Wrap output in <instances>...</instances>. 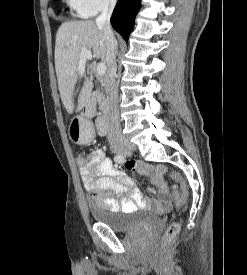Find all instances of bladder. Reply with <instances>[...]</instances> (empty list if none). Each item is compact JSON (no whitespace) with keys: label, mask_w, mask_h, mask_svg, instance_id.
I'll list each match as a JSON object with an SVG mask.
<instances>
[{"label":"bladder","mask_w":247,"mask_h":275,"mask_svg":"<svg viewBox=\"0 0 247 275\" xmlns=\"http://www.w3.org/2000/svg\"><path fill=\"white\" fill-rule=\"evenodd\" d=\"M89 211L97 223L115 231H128L138 225L154 226L159 222V215L150 211H112L92 205Z\"/></svg>","instance_id":"obj_1"}]
</instances>
